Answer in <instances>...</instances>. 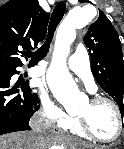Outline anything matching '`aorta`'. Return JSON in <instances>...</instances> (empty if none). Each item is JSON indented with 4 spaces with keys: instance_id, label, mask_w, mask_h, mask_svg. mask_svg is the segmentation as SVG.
<instances>
[{
    "instance_id": "1",
    "label": "aorta",
    "mask_w": 124,
    "mask_h": 149,
    "mask_svg": "<svg viewBox=\"0 0 124 149\" xmlns=\"http://www.w3.org/2000/svg\"><path fill=\"white\" fill-rule=\"evenodd\" d=\"M88 19L82 9H72L58 31L59 61L48 71L47 80L53 94L60 100L74 101L79 95L78 88L74 83L65 64V57L68 54L69 45L76 36V29L86 26ZM58 149V147H53Z\"/></svg>"
}]
</instances>
